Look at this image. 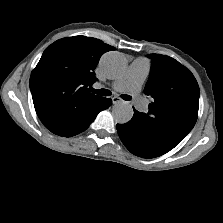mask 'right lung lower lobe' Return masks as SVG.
<instances>
[{"label":"right lung lower lobe","instance_id":"right-lung-lower-lobe-1","mask_svg":"<svg viewBox=\"0 0 223 223\" xmlns=\"http://www.w3.org/2000/svg\"><path fill=\"white\" fill-rule=\"evenodd\" d=\"M112 101L111 99H107V98H104L103 101L97 106L95 112H94V115H93V118L90 122H88L84 127L76 130V131H73V132H63V131H53L50 129L51 132H53L54 134H57L59 136H64V137H71V136H74L76 134H79L81 132H83L84 130H86L89 125L94 121V119L96 118L97 114L102 111V110H105L107 109L110 105H111Z\"/></svg>","mask_w":223,"mask_h":223}]
</instances>
